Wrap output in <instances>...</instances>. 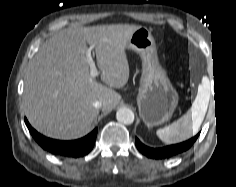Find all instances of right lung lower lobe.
<instances>
[{
	"label": "right lung lower lobe",
	"instance_id": "right-lung-lower-lobe-1",
	"mask_svg": "<svg viewBox=\"0 0 236 187\" xmlns=\"http://www.w3.org/2000/svg\"><path fill=\"white\" fill-rule=\"evenodd\" d=\"M25 123L35 139V141L44 149L49 151L52 154L65 156V157H83L88 154L95 143L97 128H95L90 134L87 136L73 141H60L47 138L41 134H39L36 130H34L30 124L25 120Z\"/></svg>",
	"mask_w": 236,
	"mask_h": 187
}]
</instances>
